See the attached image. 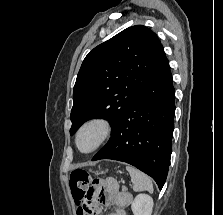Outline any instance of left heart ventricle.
<instances>
[{"label":"left heart ventricle","mask_w":223,"mask_h":215,"mask_svg":"<svg viewBox=\"0 0 223 215\" xmlns=\"http://www.w3.org/2000/svg\"><path fill=\"white\" fill-rule=\"evenodd\" d=\"M95 139H96L95 132L91 131V130H88V131H85L81 135L79 144H80L81 148L87 149V148H89L93 145Z\"/></svg>","instance_id":"left-heart-ventricle-1"}]
</instances>
